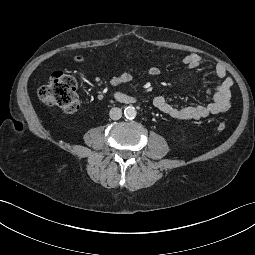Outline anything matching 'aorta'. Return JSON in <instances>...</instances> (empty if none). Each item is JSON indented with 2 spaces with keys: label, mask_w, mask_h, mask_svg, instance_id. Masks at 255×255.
<instances>
[{
  "label": "aorta",
  "mask_w": 255,
  "mask_h": 255,
  "mask_svg": "<svg viewBox=\"0 0 255 255\" xmlns=\"http://www.w3.org/2000/svg\"><path fill=\"white\" fill-rule=\"evenodd\" d=\"M124 115L127 119H134L137 115V111L133 106H127L124 109Z\"/></svg>",
  "instance_id": "aorta-1"
}]
</instances>
